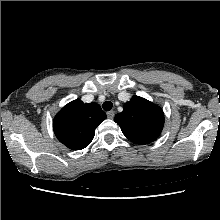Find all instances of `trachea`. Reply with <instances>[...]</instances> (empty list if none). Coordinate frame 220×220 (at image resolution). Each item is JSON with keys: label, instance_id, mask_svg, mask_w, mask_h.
Instances as JSON below:
<instances>
[{"label": "trachea", "instance_id": "trachea-1", "mask_svg": "<svg viewBox=\"0 0 220 220\" xmlns=\"http://www.w3.org/2000/svg\"><path fill=\"white\" fill-rule=\"evenodd\" d=\"M113 107V103L110 102V101H105L102 105V108L105 110V111H109L111 110Z\"/></svg>", "mask_w": 220, "mask_h": 220}]
</instances>
